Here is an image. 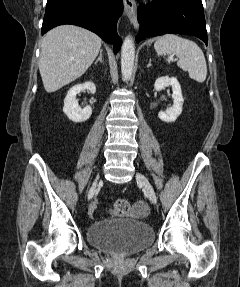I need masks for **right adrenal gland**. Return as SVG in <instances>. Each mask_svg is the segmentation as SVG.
Listing matches in <instances>:
<instances>
[{
	"mask_svg": "<svg viewBox=\"0 0 240 287\" xmlns=\"http://www.w3.org/2000/svg\"><path fill=\"white\" fill-rule=\"evenodd\" d=\"M102 52H103V50L101 49V50H100L99 57H98V59L95 61V64H96L98 61H100L101 63H103V60H102Z\"/></svg>",
	"mask_w": 240,
	"mask_h": 287,
	"instance_id": "right-adrenal-gland-1",
	"label": "right adrenal gland"
}]
</instances>
